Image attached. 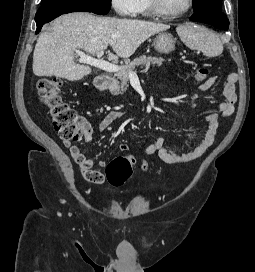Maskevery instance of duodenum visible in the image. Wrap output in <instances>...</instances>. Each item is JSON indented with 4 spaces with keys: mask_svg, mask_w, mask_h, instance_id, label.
Listing matches in <instances>:
<instances>
[{
    "mask_svg": "<svg viewBox=\"0 0 255 272\" xmlns=\"http://www.w3.org/2000/svg\"><path fill=\"white\" fill-rule=\"evenodd\" d=\"M113 83V77L109 75H98L95 79V87L100 92H105Z\"/></svg>",
    "mask_w": 255,
    "mask_h": 272,
    "instance_id": "duodenum-1",
    "label": "duodenum"
}]
</instances>
